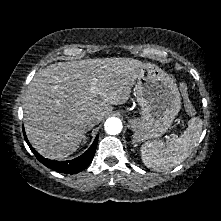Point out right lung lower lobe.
Segmentation results:
<instances>
[{"instance_id": "right-lung-lower-lobe-1", "label": "right lung lower lobe", "mask_w": 221, "mask_h": 221, "mask_svg": "<svg viewBox=\"0 0 221 221\" xmlns=\"http://www.w3.org/2000/svg\"><path fill=\"white\" fill-rule=\"evenodd\" d=\"M24 137L29 145L31 151L35 154L36 158L46 167L59 172V173H64V174H74L81 172L84 170L92 161L93 156L96 151L97 143H98V135L96 136L93 144L89 147V149L83 153L81 156L68 160V161H54V160H49L41 156L36 150L30 145L25 132H24Z\"/></svg>"}]
</instances>
